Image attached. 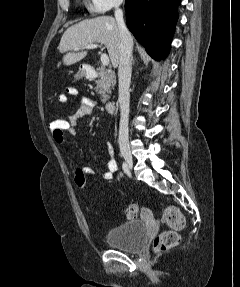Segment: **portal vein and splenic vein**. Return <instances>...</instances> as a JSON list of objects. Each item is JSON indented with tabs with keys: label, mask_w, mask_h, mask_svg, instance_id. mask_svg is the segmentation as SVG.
I'll use <instances>...</instances> for the list:
<instances>
[{
	"label": "portal vein and splenic vein",
	"mask_w": 240,
	"mask_h": 287,
	"mask_svg": "<svg viewBox=\"0 0 240 287\" xmlns=\"http://www.w3.org/2000/svg\"><path fill=\"white\" fill-rule=\"evenodd\" d=\"M97 47H99L98 44H89V45H86V46L82 47V49H94V48H97ZM75 50H79V48H75ZM100 59H101V63L104 66L109 65V57H108L107 54L102 53Z\"/></svg>",
	"instance_id": "portal-vein-and-splenic-vein-1"
}]
</instances>
